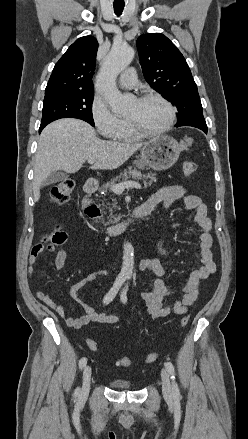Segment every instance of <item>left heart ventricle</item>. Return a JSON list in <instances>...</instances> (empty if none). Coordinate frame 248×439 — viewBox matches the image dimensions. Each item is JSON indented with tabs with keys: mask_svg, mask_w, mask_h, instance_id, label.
Wrapping results in <instances>:
<instances>
[{
	"mask_svg": "<svg viewBox=\"0 0 248 439\" xmlns=\"http://www.w3.org/2000/svg\"><path fill=\"white\" fill-rule=\"evenodd\" d=\"M126 117L137 121L142 128L154 131L167 125L170 113L160 100L150 99L142 102L135 100Z\"/></svg>",
	"mask_w": 248,
	"mask_h": 439,
	"instance_id": "obj_1",
	"label": "left heart ventricle"
}]
</instances>
